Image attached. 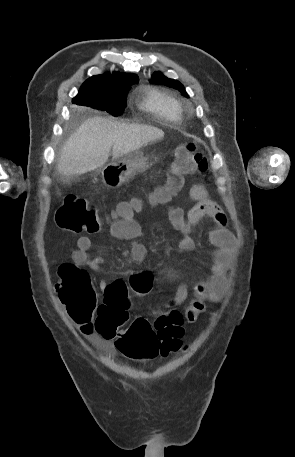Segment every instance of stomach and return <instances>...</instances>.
<instances>
[{
  "instance_id": "obj_1",
  "label": "stomach",
  "mask_w": 295,
  "mask_h": 457,
  "mask_svg": "<svg viewBox=\"0 0 295 457\" xmlns=\"http://www.w3.org/2000/svg\"><path fill=\"white\" fill-rule=\"evenodd\" d=\"M147 167H149L148 156L140 151H134L104 166L101 169L102 181L107 187L115 188Z\"/></svg>"
}]
</instances>
